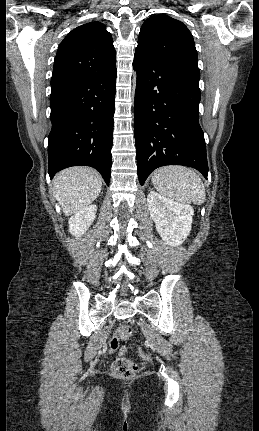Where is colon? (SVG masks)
Instances as JSON below:
<instances>
[{
  "label": "colon",
  "instance_id": "1",
  "mask_svg": "<svg viewBox=\"0 0 259 431\" xmlns=\"http://www.w3.org/2000/svg\"><path fill=\"white\" fill-rule=\"evenodd\" d=\"M133 333L134 329L130 324L121 325L110 340V350L116 351L119 348L120 341L130 338ZM126 352L127 348L122 347L120 349V356L112 364L114 374L120 378H132L138 371L137 364L124 356ZM138 354L143 359L148 357L147 352L142 348H138Z\"/></svg>",
  "mask_w": 259,
  "mask_h": 431
}]
</instances>
